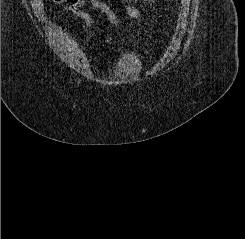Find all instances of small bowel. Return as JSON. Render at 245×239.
I'll return each instance as SVG.
<instances>
[{"mask_svg": "<svg viewBox=\"0 0 245 239\" xmlns=\"http://www.w3.org/2000/svg\"><path fill=\"white\" fill-rule=\"evenodd\" d=\"M123 2L129 16L132 19H134L137 23H141L142 17L140 11L136 7H134L131 3L125 2V0H123ZM60 3H65V2H60ZM65 4L66 7L64 8V10L69 11L70 13L78 17H81L83 19L89 20L88 14L83 11V8L85 6H88L93 10H99L103 12L108 17V19L112 24L117 25L119 22L117 16L112 12L110 7L104 0H75V2L71 4L68 3ZM60 28L62 31L64 30V26H61Z\"/></svg>", "mask_w": 245, "mask_h": 239, "instance_id": "small-bowel-1", "label": "small bowel"}]
</instances>
